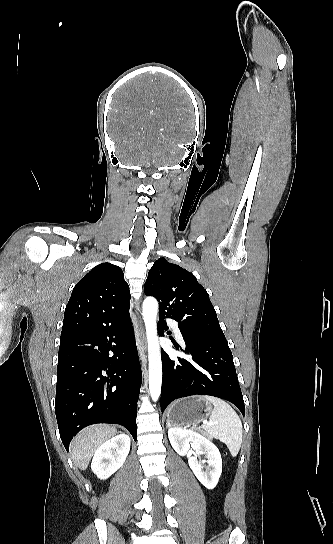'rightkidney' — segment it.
I'll return each mask as SVG.
<instances>
[{
	"label": "right kidney",
	"mask_w": 333,
	"mask_h": 544,
	"mask_svg": "<svg viewBox=\"0 0 333 544\" xmlns=\"http://www.w3.org/2000/svg\"><path fill=\"white\" fill-rule=\"evenodd\" d=\"M130 451V438L119 434L104 442L95 452L91 469L99 479H107L125 462Z\"/></svg>",
	"instance_id": "1"
}]
</instances>
